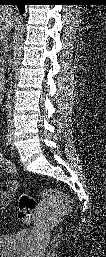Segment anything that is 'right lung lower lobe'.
Instances as JSON below:
<instances>
[{"instance_id": "1", "label": "right lung lower lobe", "mask_w": 106, "mask_h": 257, "mask_svg": "<svg viewBox=\"0 0 106 257\" xmlns=\"http://www.w3.org/2000/svg\"><path fill=\"white\" fill-rule=\"evenodd\" d=\"M1 4L17 5L21 13L24 12L25 5L28 4V0H0Z\"/></svg>"}]
</instances>
